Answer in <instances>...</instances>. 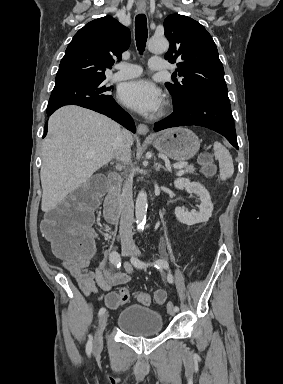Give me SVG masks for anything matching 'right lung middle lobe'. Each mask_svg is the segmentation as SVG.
Returning a JSON list of instances; mask_svg holds the SVG:
<instances>
[{"mask_svg": "<svg viewBox=\"0 0 283 384\" xmlns=\"http://www.w3.org/2000/svg\"><path fill=\"white\" fill-rule=\"evenodd\" d=\"M111 89L105 85L104 80L57 87L52 91L48 107L60 108L64 105L112 99L107 93Z\"/></svg>", "mask_w": 283, "mask_h": 384, "instance_id": "dd1d6c3e", "label": "right lung middle lobe"}]
</instances>
